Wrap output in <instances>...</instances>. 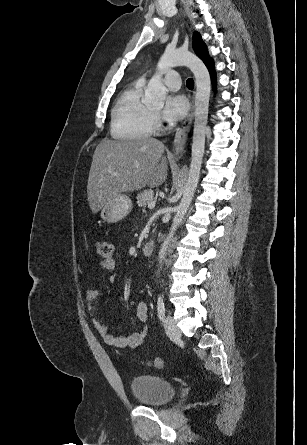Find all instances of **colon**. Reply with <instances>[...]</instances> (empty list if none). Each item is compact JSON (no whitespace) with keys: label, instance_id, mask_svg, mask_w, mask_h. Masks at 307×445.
<instances>
[{"label":"colon","instance_id":"obj_1","mask_svg":"<svg viewBox=\"0 0 307 445\" xmlns=\"http://www.w3.org/2000/svg\"><path fill=\"white\" fill-rule=\"evenodd\" d=\"M97 253L100 257L103 259H109L112 258L113 254V244L110 241L107 240H99L95 243ZM142 364L156 368V369H162L164 366V362L161 358H153L150 360L142 361Z\"/></svg>","mask_w":307,"mask_h":445}]
</instances>
